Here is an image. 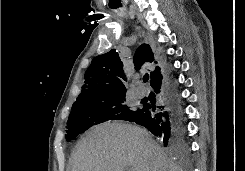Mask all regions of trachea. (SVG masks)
<instances>
[{
  "label": "trachea",
  "instance_id": "3493384b",
  "mask_svg": "<svg viewBox=\"0 0 245 171\" xmlns=\"http://www.w3.org/2000/svg\"><path fill=\"white\" fill-rule=\"evenodd\" d=\"M117 7H121V3L116 4V5L114 6V8H117ZM148 79H149V75H148V74H145V75L143 76V81H144V82H147Z\"/></svg>",
  "mask_w": 245,
  "mask_h": 171
}]
</instances>
